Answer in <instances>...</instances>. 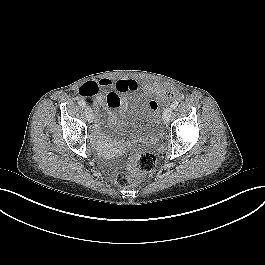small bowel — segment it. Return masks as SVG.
<instances>
[{
	"label": "small bowel",
	"instance_id": "small-bowel-1",
	"mask_svg": "<svg viewBox=\"0 0 265 265\" xmlns=\"http://www.w3.org/2000/svg\"><path fill=\"white\" fill-rule=\"evenodd\" d=\"M148 88L157 94L161 95L162 101H167L173 96L167 94V90H164L160 85L150 84ZM139 89V83L135 79H119L113 81L109 78H102L99 81H88L83 83L79 88V95L83 101H86L92 105L96 117L98 118L99 112L102 108H120L125 110V99L132 90ZM105 93V94H104ZM115 95L119 102L110 98V95ZM110 119H114V115L110 113ZM96 134L99 138H102L100 132V125L96 126Z\"/></svg>",
	"mask_w": 265,
	"mask_h": 265
}]
</instances>
